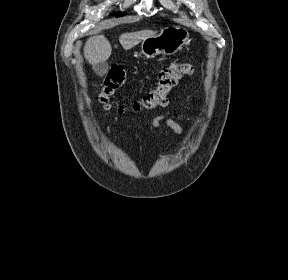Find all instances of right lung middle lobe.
Listing matches in <instances>:
<instances>
[{
  "instance_id": "right-lung-middle-lobe-1",
  "label": "right lung middle lobe",
  "mask_w": 288,
  "mask_h": 280,
  "mask_svg": "<svg viewBox=\"0 0 288 280\" xmlns=\"http://www.w3.org/2000/svg\"><path fill=\"white\" fill-rule=\"evenodd\" d=\"M123 15H125L124 12H118V13L115 14L116 17H120V16H123Z\"/></svg>"
}]
</instances>
